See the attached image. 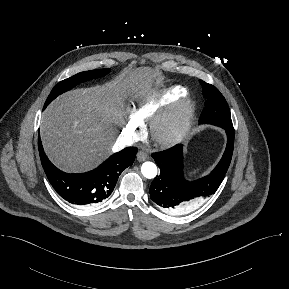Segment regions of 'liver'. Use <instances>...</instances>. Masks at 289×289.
I'll list each match as a JSON object with an SVG mask.
<instances>
[{"instance_id": "obj_1", "label": "liver", "mask_w": 289, "mask_h": 289, "mask_svg": "<svg viewBox=\"0 0 289 289\" xmlns=\"http://www.w3.org/2000/svg\"><path fill=\"white\" fill-rule=\"evenodd\" d=\"M157 77L158 72L149 67L126 69L104 85L71 90L56 98L41 118V139L49 159L68 173L100 164L126 115L125 100L148 94Z\"/></svg>"}]
</instances>
